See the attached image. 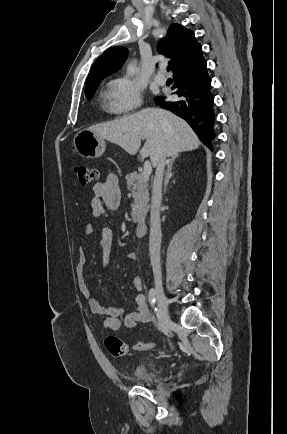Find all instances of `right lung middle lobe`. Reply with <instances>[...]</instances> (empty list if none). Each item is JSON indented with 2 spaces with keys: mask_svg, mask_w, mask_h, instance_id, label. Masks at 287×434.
Instances as JSON below:
<instances>
[{
  "mask_svg": "<svg viewBox=\"0 0 287 434\" xmlns=\"http://www.w3.org/2000/svg\"><path fill=\"white\" fill-rule=\"evenodd\" d=\"M99 83H100V81L86 84V86H85V95H86V97L88 99H90V98L93 97V94H94L95 90L97 89Z\"/></svg>",
  "mask_w": 287,
  "mask_h": 434,
  "instance_id": "dd1d6c3e",
  "label": "right lung middle lobe"
}]
</instances>
